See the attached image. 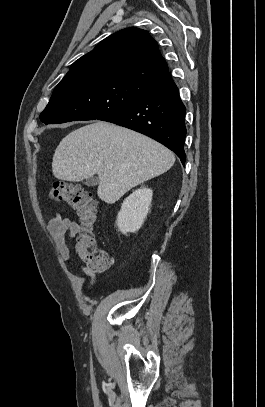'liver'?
<instances>
[{"mask_svg":"<svg viewBox=\"0 0 265 407\" xmlns=\"http://www.w3.org/2000/svg\"><path fill=\"white\" fill-rule=\"evenodd\" d=\"M174 162V154L155 140L97 121L62 139L53 156L52 170L57 179L69 182L97 174L98 197L113 204L131 188L167 172Z\"/></svg>","mask_w":265,"mask_h":407,"instance_id":"1","label":"liver"}]
</instances>
